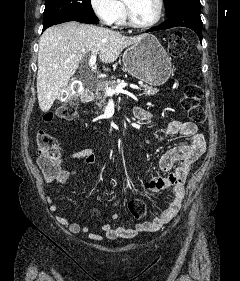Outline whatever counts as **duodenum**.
I'll return each mask as SVG.
<instances>
[{
  "instance_id": "duodenum-1",
  "label": "duodenum",
  "mask_w": 240,
  "mask_h": 281,
  "mask_svg": "<svg viewBox=\"0 0 240 281\" xmlns=\"http://www.w3.org/2000/svg\"><path fill=\"white\" fill-rule=\"evenodd\" d=\"M93 100V92L87 91L82 95V102L83 103H89ZM133 116L137 119H140V110L139 109H134L133 110Z\"/></svg>"
}]
</instances>
